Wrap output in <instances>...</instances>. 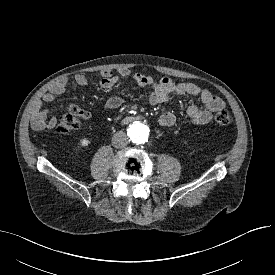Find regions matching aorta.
I'll return each mask as SVG.
<instances>
[{
    "mask_svg": "<svg viewBox=\"0 0 275 275\" xmlns=\"http://www.w3.org/2000/svg\"><path fill=\"white\" fill-rule=\"evenodd\" d=\"M130 138L137 144L146 142L149 134V127L143 122H135L128 129Z\"/></svg>",
    "mask_w": 275,
    "mask_h": 275,
    "instance_id": "aorta-1",
    "label": "aorta"
}]
</instances>
